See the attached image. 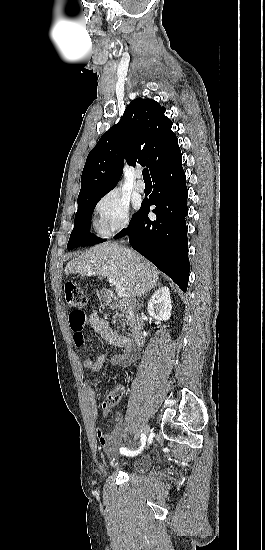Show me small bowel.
Wrapping results in <instances>:
<instances>
[{
    "label": "small bowel",
    "instance_id": "1",
    "mask_svg": "<svg viewBox=\"0 0 265 550\" xmlns=\"http://www.w3.org/2000/svg\"><path fill=\"white\" fill-rule=\"evenodd\" d=\"M89 326L95 332L101 335L104 340L110 345L121 348L122 354L112 357V362L122 366H128L134 362L138 355V350L132 347L131 339L113 331L108 323L100 318L97 314L92 313L89 316ZM80 343L83 342V331L80 334ZM107 360L106 354H101L95 359L87 358L84 360V367L92 373H98L103 368ZM97 386L91 385L88 388V398L93 408V415L96 418L95 398ZM104 409L106 406L104 405ZM116 426L110 433H104L100 428H96L97 439L105 451H109L115 444L122 443L126 440L127 423L120 416L116 417Z\"/></svg>",
    "mask_w": 265,
    "mask_h": 550
}]
</instances>
